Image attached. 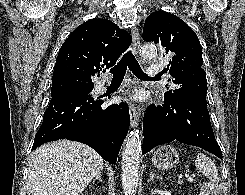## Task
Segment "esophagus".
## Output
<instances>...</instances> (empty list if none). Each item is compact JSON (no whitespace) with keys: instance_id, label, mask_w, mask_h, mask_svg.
<instances>
[{"instance_id":"1","label":"esophagus","mask_w":245,"mask_h":195,"mask_svg":"<svg viewBox=\"0 0 245 195\" xmlns=\"http://www.w3.org/2000/svg\"><path fill=\"white\" fill-rule=\"evenodd\" d=\"M131 35H132L133 51L135 54H138L140 50L139 30L136 27L132 28ZM129 115H130L131 126L132 127L137 126L140 119V113L139 110L136 108V106H134L133 104L129 105Z\"/></svg>"}]
</instances>
